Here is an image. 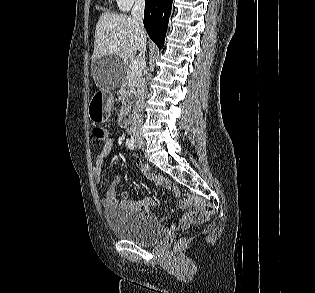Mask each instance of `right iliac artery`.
<instances>
[{"mask_svg": "<svg viewBox=\"0 0 315 293\" xmlns=\"http://www.w3.org/2000/svg\"><path fill=\"white\" fill-rule=\"evenodd\" d=\"M126 146L130 149V150H134L136 148V143L132 138H128L126 139Z\"/></svg>", "mask_w": 315, "mask_h": 293, "instance_id": "82829eb1", "label": "right iliac artery"}]
</instances>
